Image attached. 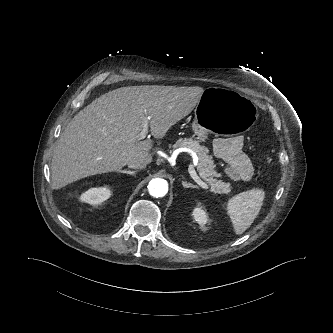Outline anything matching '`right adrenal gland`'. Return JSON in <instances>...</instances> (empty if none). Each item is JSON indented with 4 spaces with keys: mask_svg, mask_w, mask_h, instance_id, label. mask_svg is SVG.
<instances>
[{
    "mask_svg": "<svg viewBox=\"0 0 333 333\" xmlns=\"http://www.w3.org/2000/svg\"><path fill=\"white\" fill-rule=\"evenodd\" d=\"M137 171H130V170H119L118 173L135 175Z\"/></svg>",
    "mask_w": 333,
    "mask_h": 333,
    "instance_id": "obj_1",
    "label": "right adrenal gland"
}]
</instances>
